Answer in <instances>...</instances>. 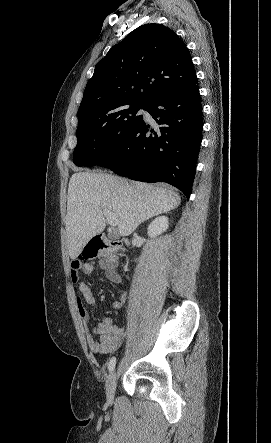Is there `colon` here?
<instances>
[{
  "label": "colon",
  "mask_w": 271,
  "mask_h": 443,
  "mask_svg": "<svg viewBox=\"0 0 271 443\" xmlns=\"http://www.w3.org/2000/svg\"><path fill=\"white\" fill-rule=\"evenodd\" d=\"M123 252V246L119 242L105 241L95 237L84 247L79 259L92 260L101 259L104 263H114Z\"/></svg>",
  "instance_id": "5ec220e1"
}]
</instances>
